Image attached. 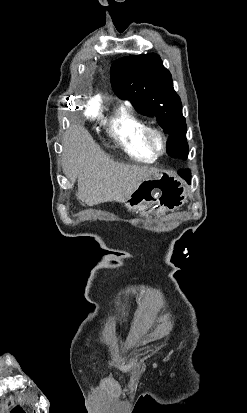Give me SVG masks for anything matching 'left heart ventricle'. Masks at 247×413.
<instances>
[{
  "label": "left heart ventricle",
  "instance_id": "b2bd125f",
  "mask_svg": "<svg viewBox=\"0 0 247 413\" xmlns=\"http://www.w3.org/2000/svg\"><path fill=\"white\" fill-rule=\"evenodd\" d=\"M149 139L154 146L160 147V139L157 135L151 134Z\"/></svg>",
  "mask_w": 247,
  "mask_h": 413
}]
</instances>
